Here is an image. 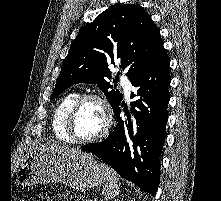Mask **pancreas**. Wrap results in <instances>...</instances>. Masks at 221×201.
Wrapping results in <instances>:
<instances>
[{
    "mask_svg": "<svg viewBox=\"0 0 221 201\" xmlns=\"http://www.w3.org/2000/svg\"><path fill=\"white\" fill-rule=\"evenodd\" d=\"M80 200H81V196H80V197H78L76 201H80Z\"/></svg>",
    "mask_w": 221,
    "mask_h": 201,
    "instance_id": "1",
    "label": "pancreas"
}]
</instances>
